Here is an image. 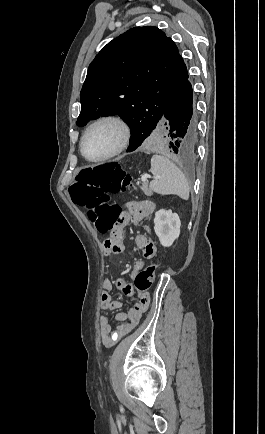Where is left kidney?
<instances>
[{"label":"left kidney","instance_id":"1","mask_svg":"<svg viewBox=\"0 0 265 434\" xmlns=\"http://www.w3.org/2000/svg\"><path fill=\"white\" fill-rule=\"evenodd\" d=\"M154 230L162 246L169 248L174 240L180 236V218L178 214H172V210H159L154 218Z\"/></svg>","mask_w":265,"mask_h":434}]
</instances>
